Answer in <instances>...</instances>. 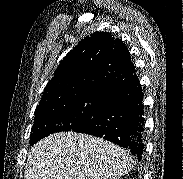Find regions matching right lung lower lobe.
Instances as JSON below:
<instances>
[{"instance_id":"right-lung-lower-lobe-1","label":"right lung lower lobe","mask_w":183,"mask_h":179,"mask_svg":"<svg viewBox=\"0 0 183 179\" xmlns=\"http://www.w3.org/2000/svg\"><path fill=\"white\" fill-rule=\"evenodd\" d=\"M94 116L75 132L101 137L128 149L139 160L144 154L143 92L133 74L102 94Z\"/></svg>"}]
</instances>
